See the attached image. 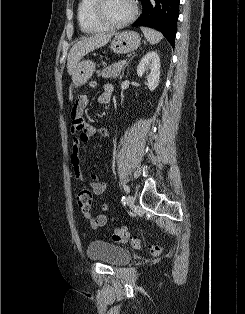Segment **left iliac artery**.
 <instances>
[{
  "label": "left iliac artery",
  "instance_id": "left-iliac-artery-1",
  "mask_svg": "<svg viewBox=\"0 0 245 314\" xmlns=\"http://www.w3.org/2000/svg\"><path fill=\"white\" fill-rule=\"evenodd\" d=\"M123 188H124L125 192H127V193L130 192V189H129V186H128V185H124ZM124 199H125V197L123 196V197H122V202H124Z\"/></svg>",
  "mask_w": 245,
  "mask_h": 314
}]
</instances>
